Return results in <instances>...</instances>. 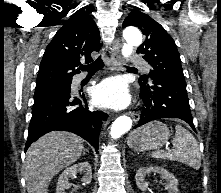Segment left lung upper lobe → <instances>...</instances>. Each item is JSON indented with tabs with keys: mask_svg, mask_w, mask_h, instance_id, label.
<instances>
[{
	"mask_svg": "<svg viewBox=\"0 0 221 193\" xmlns=\"http://www.w3.org/2000/svg\"><path fill=\"white\" fill-rule=\"evenodd\" d=\"M136 26L145 35V42L137 49L151 65L149 77L164 75L184 78L180 55L172 37L147 14L133 10L123 22V27ZM148 84V77L140 79V85Z\"/></svg>",
	"mask_w": 221,
	"mask_h": 193,
	"instance_id": "1",
	"label": "left lung upper lobe"
}]
</instances>
